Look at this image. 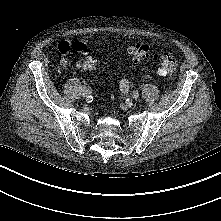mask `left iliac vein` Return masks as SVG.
<instances>
[{"instance_id":"1","label":"left iliac vein","mask_w":221,"mask_h":221,"mask_svg":"<svg viewBox=\"0 0 221 221\" xmlns=\"http://www.w3.org/2000/svg\"><path fill=\"white\" fill-rule=\"evenodd\" d=\"M140 93L138 91H133L131 93V98L132 99H137L139 97Z\"/></svg>"}]
</instances>
